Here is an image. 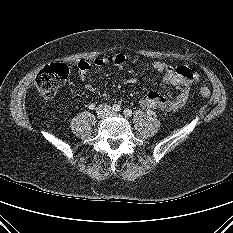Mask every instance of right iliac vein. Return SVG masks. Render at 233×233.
I'll return each mask as SVG.
<instances>
[{
    "label": "right iliac vein",
    "mask_w": 233,
    "mask_h": 233,
    "mask_svg": "<svg viewBox=\"0 0 233 233\" xmlns=\"http://www.w3.org/2000/svg\"><path fill=\"white\" fill-rule=\"evenodd\" d=\"M100 116H104L105 114H106V111L105 110H102V111H100Z\"/></svg>",
    "instance_id": "63e3f726"
}]
</instances>
